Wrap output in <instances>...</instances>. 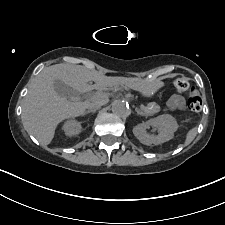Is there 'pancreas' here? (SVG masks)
Masks as SVG:
<instances>
[{"label": "pancreas", "mask_w": 225, "mask_h": 225, "mask_svg": "<svg viewBox=\"0 0 225 225\" xmlns=\"http://www.w3.org/2000/svg\"><path fill=\"white\" fill-rule=\"evenodd\" d=\"M141 109L146 116L154 115L155 113H158L160 111L159 105L155 102H151L146 106H143V108Z\"/></svg>", "instance_id": "cf45deb5"}]
</instances>
